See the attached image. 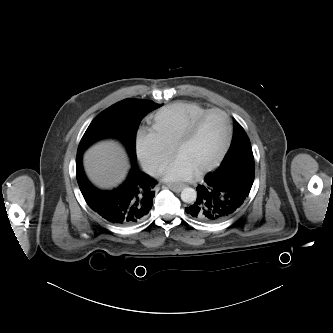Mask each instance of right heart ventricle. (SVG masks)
<instances>
[{
    "label": "right heart ventricle",
    "instance_id": "1",
    "mask_svg": "<svg viewBox=\"0 0 333 333\" xmlns=\"http://www.w3.org/2000/svg\"><path fill=\"white\" fill-rule=\"evenodd\" d=\"M205 111H207L205 107L194 102L172 103L154 114L152 129L172 147L189 123Z\"/></svg>",
    "mask_w": 333,
    "mask_h": 333
}]
</instances>
